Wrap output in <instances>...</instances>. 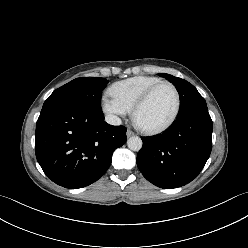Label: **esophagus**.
I'll use <instances>...</instances> for the list:
<instances>
[{"label": "esophagus", "mask_w": 248, "mask_h": 248, "mask_svg": "<svg viewBox=\"0 0 248 248\" xmlns=\"http://www.w3.org/2000/svg\"><path fill=\"white\" fill-rule=\"evenodd\" d=\"M126 135H127V137H131L134 135V132L128 129L126 132Z\"/></svg>", "instance_id": "esophagus-1"}]
</instances>
